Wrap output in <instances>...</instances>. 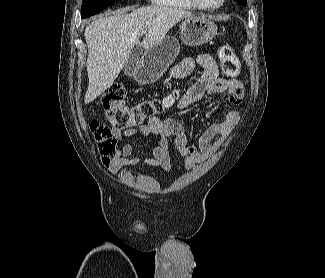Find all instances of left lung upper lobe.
I'll use <instances>...</instances> for the list:
<instances>
[{
  "label": "left lung upper lobe",
  "mask_w": 325,
  "mask_h": 278,
  "mask_svg": "<svg viewBox=\"0 0 325 278\" xmlns=\"http://www.w3.org/2000/svg\"><path fill=\"white\" fill-rule=\"evenodd\" d=\"M237 2H239L241 5H246L247 1L246 0H236Z\"/></svg>",
  "instance_id": "1"
}]
</instances>
